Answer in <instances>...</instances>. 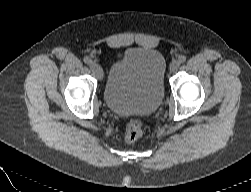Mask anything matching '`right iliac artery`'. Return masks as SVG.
Wrapping results in <instances>:
<instances>
[{
    "mask_svg": "<svg viewBox=\"0 0 251 192\" xmlns=\"http://www.w3.org/2000/svg\"><path fill=\"white\" fill-rule=\"evenodd\" d=\"M84 62L86 63V64H88V65H90L91 63H92V59L90 58V57H88V56H86V57H84Z\"/></svg>",
    "mask_w": 251,
    "mask_h": 192,
    "instance_id": "82829eb1",
    "label": "right iliac artery"
}]
</instances>
